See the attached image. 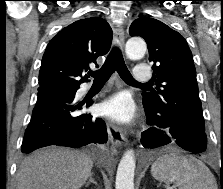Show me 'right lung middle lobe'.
Here are the masks:
<instances>
[{
    "label": "right lung middle lobe",
    "mask_w": 223,
    "mask_h": 189,
    "mask_svg": "<svg viewBox=\"0 0 223 189\" xmlns=\"http://www.w3.org/2000/svg\"><path fill=\"white\" fill-rule=\"evenodd\" d=\"M57 91H66V90H57Z\"/></svg>",
    "instance_id": "obj_1"
}]
</instances>
